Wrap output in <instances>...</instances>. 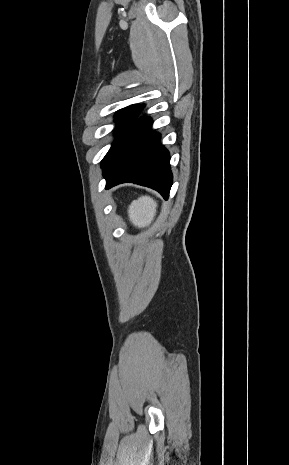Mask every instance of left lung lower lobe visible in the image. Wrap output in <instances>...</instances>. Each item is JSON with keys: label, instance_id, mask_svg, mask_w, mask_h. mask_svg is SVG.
<instances>
[{"label": "left lung lower lobe", "instance_id": "left-lung-lower-lobe-1", "mask_svg": "<svg viewBox=\"0 0 289 465\" xmlns=\"http://www.w3.org/2000/svg\"><path fill=\"white\" fill-rule=\"evenodd\" d=\"M151 119L142 118L101 163L106 189L132 182L157 190L165 199L172 186L170 156L159 143L160 134L151 131Z\"/></svg>", "mask_w": 289, "mask_h": 465}]
</instances>
